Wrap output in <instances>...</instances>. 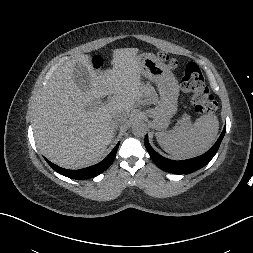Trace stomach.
<instances>
[{
    "label": "stomach",
    "mask_w": 253,
    "mask_h": 253,
    "mask_svg": "<svg viewBox=\"0 0 253 253\" xmlns=\"http://www.w3.org/2000/svg\"><path fill=\"white\" fill-rule=\"evenodd\" d=\"M138 57L141 74L156 83L160 94V100L150 109L149 115L153 119L154 128L164 130L177 111L178 81L169 67L154 54L142 53Z\"/></svg>",
    "instance_id": "stomach-1"
}]
</instances>
